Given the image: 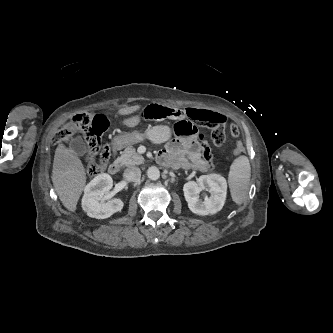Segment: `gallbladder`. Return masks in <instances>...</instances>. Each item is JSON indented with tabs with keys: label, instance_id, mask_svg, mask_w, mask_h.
Wrapping results in <instances>:
<instances>
[{
	"label": "gallbladder",
	"instance_id": "gallbladder-1",
	"mask_svg": "<svg viewBox=\"0 0 333 333\" xmlns=\"http://www.w3.org/2000/svg\"><path fill=\"white\" fill-rule=\"evenodd\" d=\"M84 150V142L81 138H78L74 144L73 151L78 154L84 152Z\"/></svg>",
	"mask_w": 333,
	"mask_h": 333
}]
</instances>
